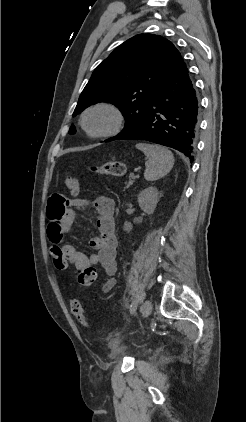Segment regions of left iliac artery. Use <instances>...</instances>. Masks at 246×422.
Returning <instances> with one entry per match:
<instances>
[{"label": "left iliac artery", "instance_id": "1", "mask_svg": "<svg viewBox=\"0 0 246 422\" xmlns=\"http://www.w3.org/2000/svg\"><path fill=\"white\" fill-rule=\"evenodd\" d=\"M138 306V302L137 301H133L132 304L130 305V313L133 314L135 313L136 309Z\"/></svg>", "mask_w": 246, "mask_h": 422}]
</instances>
